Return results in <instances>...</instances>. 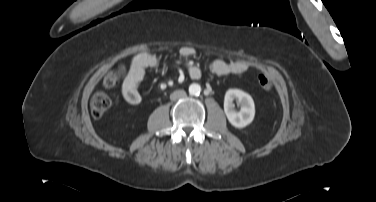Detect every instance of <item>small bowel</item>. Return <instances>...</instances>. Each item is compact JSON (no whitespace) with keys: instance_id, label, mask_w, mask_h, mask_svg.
Wrapping results in <instances>:
<instances>
[{"instance_id":"1","label":"small bowel","mask_w":376,"mask_h":202,"mask_svg":"<svg viewBox=\"0 0 376 202\" xmlns=\"http://www.w3.org/2000/svg\"><path fill=\"white\" fill-rule=\"evenodd\" d=\"M179 54L182 58L189 59L196 54V49L191 46H183L179 50ZM159 65V58L148 52H142L133 57L121 86L122 96L128 104L137 105L141 102L142 96L139 86L145 76V72L149 68H158ZM208 69L216 75H238L246 72L248 65L242 61L227 62L217 59L209 64ZM122 71L126 72V67H122ZM187 72L192 79H200L202 77V71L196 65H188Z\"/></svg>"}]
</instances>
